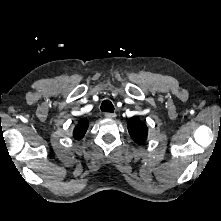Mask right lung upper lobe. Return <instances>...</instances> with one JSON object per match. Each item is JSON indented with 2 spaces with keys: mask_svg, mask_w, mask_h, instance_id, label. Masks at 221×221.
I'll return each mask as SVG.
<instances>
[{
  "mask_svg": "<svg viewBox=\"0 0 221 221\" xmlns=\"http://www.w3.org/2000/svg\"><path fill=\"white\" fill-rule=\"evenodd\" d=\"M89 122L87 119H82L79 121V123L76 125L73 131V137L76 140H80L85 135L87 128H88Z\"/></svg>",
  "mask_w": 221,
  "mask_h": 221,
  "instance_id": "1",
  "label": "right lung upper lobe"
}]
</instances>
